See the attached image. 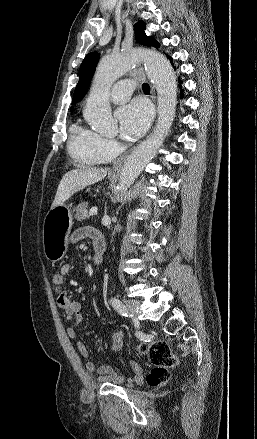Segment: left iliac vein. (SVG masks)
I'll return each instance as SVG.
<instances>
[{
	"label": "left iliac vein",
	"mask_w": 257,
	"mask_h": 439,
	"mask_svg": "<svg viewBox=\"0 0 257 439\" xmlns=\"http://www.w3.org/2000/svg\"><path fill=\"white\" fill-rule=\"evenodd\" d=\"M127 311L134 315V321H137V315L140 311V302L137 300H128L126 302Z\"/></svg>",
	"instance_id": "left-iliac-vein-1"
}]
</instances>
